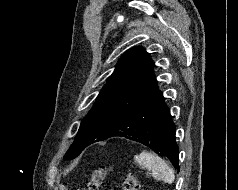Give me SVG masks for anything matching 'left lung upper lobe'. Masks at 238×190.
Segmentation results:
<instances>
[{
  "mask_svg": "<svg viewBox=\"0 0 238 190\" xmlns=\"http://www.w3.org/2000/svg\"><path fill=\"white\" fill-rule=\"evenodd\" d=\"M154 63L142 47L127 50L81 122L74 143L64 159L76 158L87 146L102 141L119 117L156 81Z\"/></svg>",
  "mask_w": 238,
  "mask_h": 190,
  "instance_id": "obj_1",
  "label": "left lung upper lobe"
}]
</instances>
